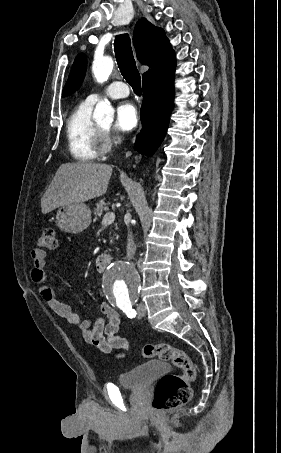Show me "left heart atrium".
Here are the masks:
<instances>
[{"mask_svg": "<svg viewBox=\"0 0 281 453\" xmlns=\"http://www.w3.org/2000/svg\"><path fill=\"white\" fill-rule=\"evenodd\" d=\"M139 121L137 108L130 102H122L116 112L115 127L124 131L134 129Z\"/></svg>", "mask_w": 281, "mask_h": 453, "instance_id": "left-heart-atrium-1", "label": "left heart atrium"}]
</instances>
